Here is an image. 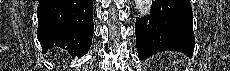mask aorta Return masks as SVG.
I'll use <instances>...</instances> for the list:
<instances>
[{
    "label": "aorta",
    "mask_w": 230,
    "mask_h": 71,
    "mask_svg": "<svg viewBox=\"0 0 230 71\" xmlns=\"http://www.w3.org/2000/svg\"><path fill=\"white\" fill-rule=\"evenodd\" d=\"M135 4L140 16L147 17L150 14L152 0H135Z\"/></svg>",
    "instance_id": "aorta-1"
}]
</instances>
